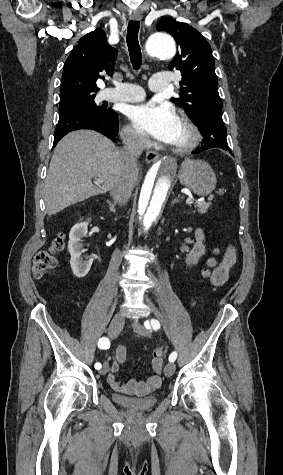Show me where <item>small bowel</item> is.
I'll return each instance as SVG.
<instances>
[{
    "label": "small bowel",
    "mask_w": 283,
    "mask_h": 475,
    "mask_svg": "<svg viewBox=\"0 0 283 475\" xmlns=\"http://www.w3.org/2000/svg\"><path fill=\"white\" fill-rule=\"evenodd\" d=\"M237 261V251L234 246L228 245L223 259L220 262L218 271H215L211 276H207L210 282L214 286H221L225 284L229 278L232 267ZM195 304V302H193ZM162 350V349H161ZM126 360V349L123 346H119L116 350L115 359L111 363L110 372L107 375V381L110 386L115 390H122L124 387L117 381L116 374L120 370V366ZM154 374L149 377L148 383L152 386H156L160 383L162 369H153Z\"/></svg>",
    "instance_id": "1"
}]
</instances>
